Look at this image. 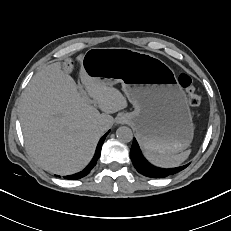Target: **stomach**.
<instances>
[{
    "label": "stomach",
    "mask_w": 231,
    "mask_h": 231,
    "mask_svg": "<svg viewBox=\"0 0 231 231\" xmlns=\"http://www.w3.org/2000/svg\"><path fill=\"white\" fill-rule=\"evenodd\" d=\"M82 65L90 77L122 84L134 106L125 115L144 150L175 155L189 147L194 125L187 96L165 62L128 48H94Z\"/></svg>",
    "instance_id": "0dacf381"
}]
</instances>
